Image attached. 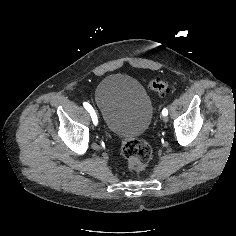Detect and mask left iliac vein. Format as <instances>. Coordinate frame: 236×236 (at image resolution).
Listing matches in <instances>:
<instances>
[{
    "instance_id": "1",
    "label": "left iliac vein",
    "mask_w": 236,
    "mask_h": 236,
    "mask_svg": "<svg viewBox=\"0 0 236 236\" xmlns=\"http://www.w3.org/2000/svg\"><path fill=\"white\" fill-rule=\"evenodd\" d=\"M168 121V117L167 116H163V122H167Z\"/></svg>"
}]
</instances>
